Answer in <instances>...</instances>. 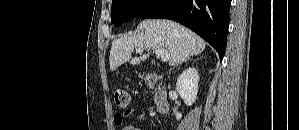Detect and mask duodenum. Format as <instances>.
Segmentation results:
<instances>
[{"instance_id":"410a0bca","label":"duodenum","mask_w":299,"mask_h":130,"mask_svg":"<svg viewBox=\"0 0 299 130\" xmlns=\"http://www.w3.org/2000/svg\"><path fill=\"white\" fill-rule=\"evenodd\" d=\"M154 104L159 114L164 115L168 112L170 105L165 87L161 86L154 92Z\"/></svg>"}]
</instances>
